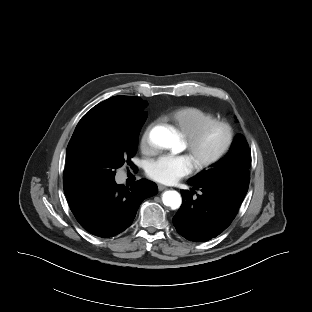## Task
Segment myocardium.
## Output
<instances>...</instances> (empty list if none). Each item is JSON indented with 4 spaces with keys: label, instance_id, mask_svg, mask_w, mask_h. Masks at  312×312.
<instances>
[{
    "label": "myocardium",
    "instance_id": "myocardium-1",
    "mask_svg": "<svg viewBox=\"0 0 312 312\" xmlns=\"http://www.w3.org/2000/svg\"><path fill=\"white\" fill-rule=\"evenodd\" d=\"M221 127L225 130L226 138L223 146L213 155L194 162V166L198 170L207 169L219 161H221L230 151L235 140V131L232 124L224 119H215L201 127L196 132L184 137L186 150L189 155L194 154L197 146L203 139L215 128Z\"/></svg>",
    "mask_w": 312,
    "mask_h": 312
}]
</instances>
